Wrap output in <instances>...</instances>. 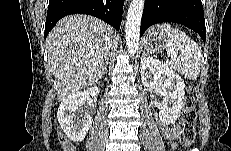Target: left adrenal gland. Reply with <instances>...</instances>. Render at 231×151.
<instances>
[{
    "label": "left adrenal gland",
    "instance_id": "1",
    "mask_svg": "<svg viewBox=\"0 0 231 151\" xmlns=\"http://www.w3.org/2000/svg\"><path fill=\"white\" fill-rule=\"evenodd\" d=\"M145 55H146V52L144 51L143 54H142V56H145Z\"/></svg>",
    "mask_w": 231,
    "mask_h": 151
}]
</instances>
